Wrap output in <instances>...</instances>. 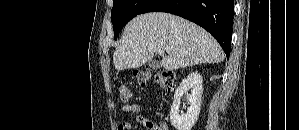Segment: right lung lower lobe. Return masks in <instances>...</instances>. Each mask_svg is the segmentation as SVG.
<instances>
[{"mask_svg":"<svg viewBox=\"0 0 299 130\" xmlns=\"http://www.w3.org/2000/svg\"><path fill=\"white\" fill-rule=\"evenodd\" d=\"M167 12L200 25L210 32L229 57L234 0H150L139 14Z\"/></svg>","mask_w":299,"mask_h":130,"instance_id":"98d812e1","label":"right lung lower lobe"}]
</instances>
